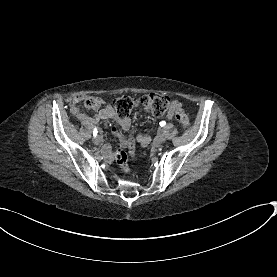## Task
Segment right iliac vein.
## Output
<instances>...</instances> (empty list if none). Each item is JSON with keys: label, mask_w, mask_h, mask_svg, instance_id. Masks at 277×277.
Returning a JSON list of instances; mask_svg holds the SVG:
<instances>
[{"label": "right iliac vein", "mask_w": 277, "mask_h": 277, "mask_svg": "<svg viewBox=\"0 0 277 277\" xmlns=\"http://www.w3.org/2000/svg\"><path fill=\"white\" fill-rule=\"evenodd\" d=\"M93 142H94L95 145H99L100 142H101L100 137H99V136L94 137V138H93Z\"/></svg>", "instance_id": "63e3f726"}]
</instances>
